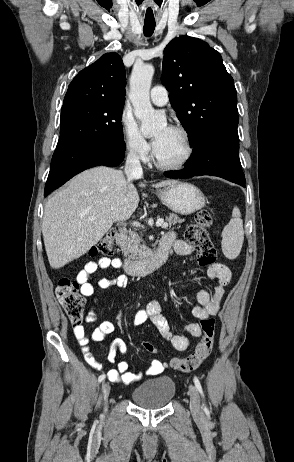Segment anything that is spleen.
<instances>
[{"label": "spleen", "mask_w": 294, "mask_h": 462, "mask_svg": "<svg viewBox=\"0 0 294 462\" xmlns=\"http://www.w3.org/2000/svg\"><path fill=\"white\" fill-rule=\"evenodd\" d=\"M244 241L243 221L239 208L234 207L232 219L222 231V251L228 259H235L241 251Z\"/></svg>", "instance_id": "spleen-1"}]
</instances>
